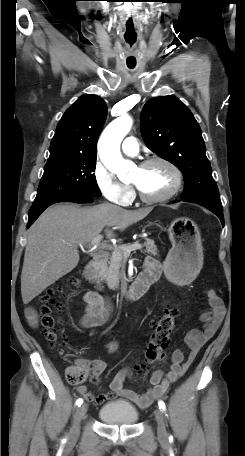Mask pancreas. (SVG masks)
I'll return each mask as SVG.
<instances>
[{"mask_svg": "<svg viewBox=\"0 0 245 456\" xmlns=\"http://www.w3.org/2000/svg\"><path fill=\"white\" fill-rule=\"evenodd\" d=\"M131 245L132 244L119 246L114 252L108 255V263L104 266L101 277L106 281L111 290L117 289L120 282L124 287L127 285V279L122 274L123 260L125 258L123 247H129ZM144 246L146 247L144 250L145 253L153 256L158 255L157 247L152 239L145 238Z\"/></svg>", "mask_w": 245, "mask_h": 456, "instance_id": "cf45deb5", "label": "pancreas"}]
</instances>
